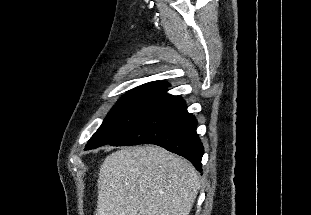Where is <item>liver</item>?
Segmentation results:
<instances>
[{
  "mask_svg": "<svg viewBox=\"0 0 311 215\" xmlns=\"http://www.w3.org/2000/svg\"><path fill=\"white\" fill-rule=\"evenodd\" d=\"M97 186L96 215H189L200 180L186 159L145 145L108 155Z\"/></svg>",
  "mask_w": 311,
  "mask_h": 215,
  "instance_id": "1",
  "label": "liver"
}]
</instances>
